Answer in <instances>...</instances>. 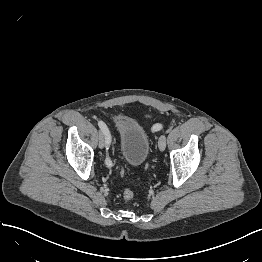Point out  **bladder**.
Instances as JSON below:
<instances>
[{
	"instance_id": "obj_1",
	"label": "bladder",
	"mask_w": 262,
	"mask_h": 262,
	"mask_svg": "<svg viewBox=\"0 0 262 262\" xmlns=\"http://www.w3.org/2000/svg\"><path fill=\"white\" fill-rule=\"evenodd\" d=\"M122 159L129 166L142 165L150 152V141L145 129L129 116L116 117Z\"/></svg>"
}]
</instances>
